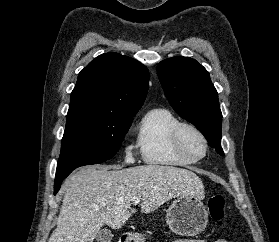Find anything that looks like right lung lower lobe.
Segmentation results:
<instances>
[{
	"label": "right lung lower lobe",
	"instance_id": "obj_1",
	"mask_svg": "<svg viewBox=\"0 0 279 242\" xmlns=\"http://www.w3.org/2000/svg\"><path fill=\"white\" fill-rule=\"evenodd\" d=\"M63 179L55 181V184H54V194H56L59 191Z\"/></svg>",
	"mask_w": 279,
	"mask_h": 242
}]
</instances>
